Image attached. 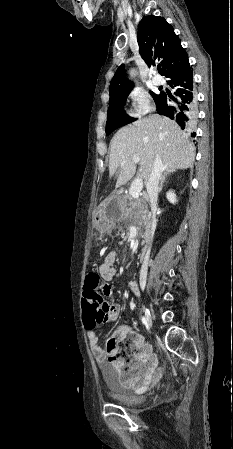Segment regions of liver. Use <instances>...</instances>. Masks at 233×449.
I'll use <instances>...</instances> for the list:
<instances>
[{"label":"liver","instance_id":"liver-1","mask_svg":"<svg viewBox=\"0 0 233 449\" xmlns=\"http://www.w3.org/2000/svg\"><path fill=\"white\" fill-rule=\"evenodd\" d=\"M140 158L138 178L148 181L155 157L159 155L170 172L193 166L195 147L173 120L154 114L121 128L109 146V173L118 171L116 188L136 172L132 157Z\"/></svg>","mask_w":233,"mask_h":449}]
</instances>
